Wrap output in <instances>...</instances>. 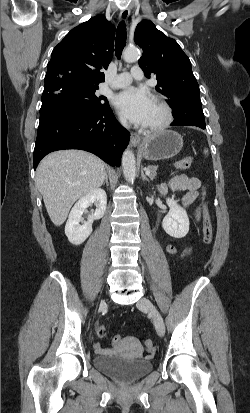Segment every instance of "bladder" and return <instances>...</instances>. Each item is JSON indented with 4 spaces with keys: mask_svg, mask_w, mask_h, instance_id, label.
<instances>
[{
    "mask_svg": "<svg viewBox=\"0 0 250 413\" xmlns=\"http://www.w3.org/2000/svg\"><path fill=\"white\" fill-rule=\"evenodd\" d=\"M94 366L121 383H132L147 375L153 368L150 360L125 358L117 355H98Z\"/></svg>",
    "mask_w": 250,
    "mask_h": 413,
    "instance_id": "bladder-1",
    "label": "bladder"
}]
</instances>
